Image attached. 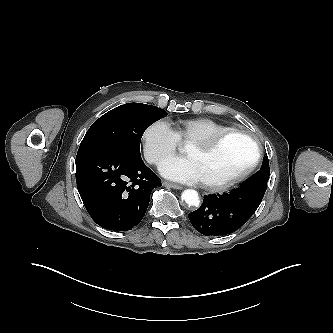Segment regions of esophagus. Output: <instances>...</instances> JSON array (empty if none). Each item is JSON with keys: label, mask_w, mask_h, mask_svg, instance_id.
Instances as JSON below:
<instances>
[{"label": "esophagus", "mask_w": 333, "mask_h": 333, "mask_svg": "<svg viewBox=\"0 0 333 333\" xmlns=\"http://www.w3.org/2000/svg\"><path fill=\"white\" fill-rule=\"evenodd\" d=\"M163 185L166 186V187L173 188V189H183V187L181 185H178V184H175V183L164 182Z\"/></svg>", "instance_id": "esophagus-1"}]
</instances>
